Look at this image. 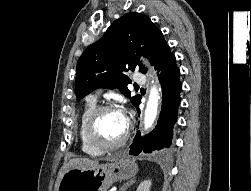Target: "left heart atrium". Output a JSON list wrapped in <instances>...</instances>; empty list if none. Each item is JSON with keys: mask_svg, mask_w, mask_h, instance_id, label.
<instances>
[{"mask_svg": "<svg viewBox=\"0 0 251 191\" xmlns=\"http://www.w3.org/2000/svg\"><path fill=\"white\" fill-rule=\"evenodd\" d=\"M116 113L121 119L125 120L124 111L122 109L117 110Z\"/></svg>", "mask_w": 251, "mask_h": 191, "instance_id": "obj_1", "label": "left heart atrium"}]
</instances>
